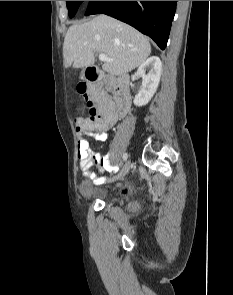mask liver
<instances>
[{"instance_id":"obj_1","label":"liver","mask_w":233,"mask_h":295,"mask_svg":"<svg viewBox=\"0 0 233 295\" xmlns=\"http://www.w3.org/2000/svg\"><path fill=\"white\" fill-rule=\"evenodd\" d=\"M95 53L105 54L113 61L102 69L112 76L131 72L151 53L146 36L128 24L100 14L89 22L69 27L63 44L64 66L75 69L95 63Z\"/></svg>"}]
</instances>
